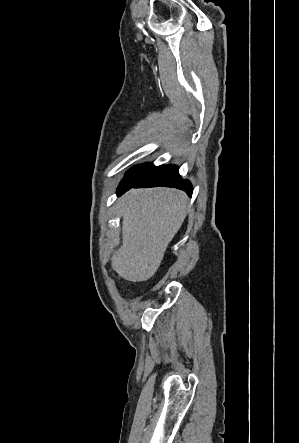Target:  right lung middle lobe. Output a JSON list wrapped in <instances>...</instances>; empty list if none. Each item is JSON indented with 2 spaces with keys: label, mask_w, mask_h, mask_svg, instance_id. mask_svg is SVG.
<instances>
[{
  "label": "right lung middle lobe",
  "mask_w": 299,
  "mask_h": 443,
  "mask_svg": "<svg viewBox=\"0 0 299 443\" xmlns=\"http://www.w3.org/2000/svg\"><path fill=\"white\" fill-rule=\"evenodd\" d=\"M155 166L153 164H143L140 166H137L135 168H132L130 171L127 172L125 179L121 182L122 184H128L132 183L138 179H140L142 176L147 174L150 170H152Z\"/></svg>",
  "instance_id": "dd1d6c3e"
}]
</instances>
